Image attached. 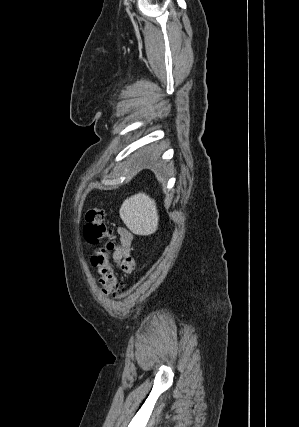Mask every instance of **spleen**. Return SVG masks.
I'll return each instance as SVG.
<instances>
[{"label":"spleen","mask_w":299,"mask_h":427,"mask_svg":"<svg viewBox=\"0 0 299 427\" xmlns=\"http://www.w3.org/2000/svg\"><path fill=\"white\" fill-rule=\"evenodd\" d=\"M124 224L137 235L153 234L158 228V210L154 199L145 193L127 198L120 210Z\"/></svg>","instance_id":"obj_1"}]
</instances>
